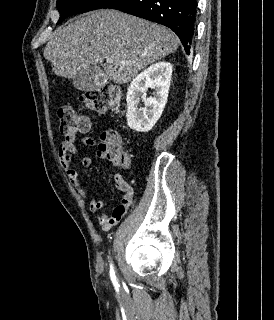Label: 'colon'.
<instances>
[{
	"mask_svg": "<svg viewBox=\"0 0 274 320\" xmlns=\"http://www.w3.org/2000/svg\"><path fill=\"white\" fill-rule=\"evenodd\" d=\"M117 91L114 86L88 89L83 92L81 100L93 112L105 113L114 105ZM60 128L65 136L72 137L82 130L83 120H90L85 114L69 104L59 107L57 113ZM99 150L106 153L116 165L124 164V151L121 138L114 131H105L100 135Z\"/></svg>",
	"mask_w": 274,
	"mask_h": 320,
	"instance_id": "1",
	"label": "colon"
}]
</instances>
